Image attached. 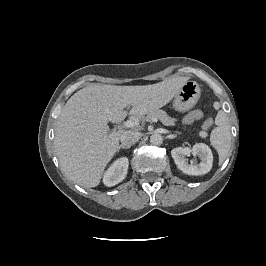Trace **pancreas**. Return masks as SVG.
Returning <instances> with one entry per match:
<instances>
[{
	"mask_svg": "<svg viewBox=\"0 0 266 266\" xmlns=\"http://www.w3.org/2000/svg\"><path fill=\"white\" fill-rule=\"evenodd\" d=\"M152 118L159 119L163 125L165 126H174L176 119L170 117L165 111L163 110H155L147 114V116L140 117L142 122L151 120Z\"/></svg>",
	"mask_w": 266,
	"mask_h": 266,
	"instance_id": "pancreas-1",
	"label": "pancreas"
}]
</instances>
